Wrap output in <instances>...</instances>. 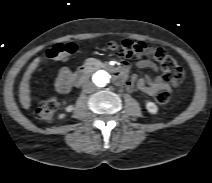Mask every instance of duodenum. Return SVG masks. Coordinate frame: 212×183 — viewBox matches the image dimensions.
I'll use <instances>...</instances> for the list:
<instances>
[{
    "mask_svg": "<svg viewBox=\"0 0 212 183\" xmlns=\"http://www.w3.org/2000/svg\"><path fill=\"white\" fill-rule=\"evenodd\" d=\"M92 67L88 64L81 66L74 74V83L77 86L82 85L92 72ZM112 78L115 82L123 79V72L121 69L113 70Z\"/></svg>",
    "mask_w": 212,
    "mask_h": 183,
    "instance_id": "1",
    "label": "duodenum"
}]
</instances>
